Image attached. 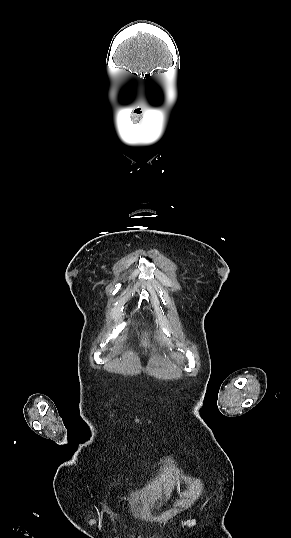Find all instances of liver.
Wrapping results in <instances>:
<instances>
[{
	"label": "liver",
	"instance_id": "liver-1",
	"mask_svg": "<svg viewBox=\"0 0 291 538\" xmlns=\"http://www.w3.org/2000/svg\"><path fill=\"white\" fill-rule=\"evenodd\" d=\"M142 344H143V346H147V342H146V341H143Z\"/></svg>",
	"mask_w": 291,
	"mask_h": 538
}]
</instances>
